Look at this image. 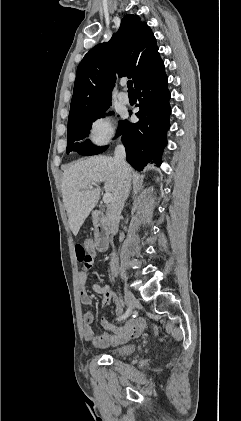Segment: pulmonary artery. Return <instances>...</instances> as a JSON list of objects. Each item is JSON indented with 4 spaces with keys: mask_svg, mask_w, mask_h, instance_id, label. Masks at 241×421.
<instances>
[{
    "mask_svg": "<svg viewBox=\"0 0 241 421\" xmlns=\"http://www.w3.org/2000/svg\"><path fill=\"white\" fill-rule=\"evenodd\" d=\"M118 100L119 102H121L122 104H128L129 103V96L127 93L125 92H120L118 94Z\"/></svg>",
    "mask_w": 241,
    "mask_h": 421,
    "instance_id": "obj_1",
    "label": "pulmonary artery"
}]
</instances>
